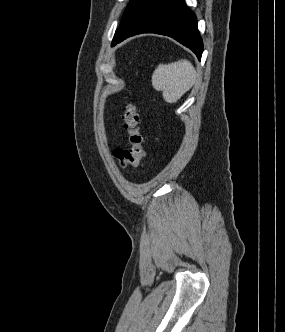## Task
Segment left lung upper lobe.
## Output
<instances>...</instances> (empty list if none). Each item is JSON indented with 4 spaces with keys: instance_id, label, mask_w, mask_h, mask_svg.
Here are the masks:
<instances>
[{
    "instance_id": "obj_1",
    "label": "left lung upper lobe",
    "mask_w": 285,
    "mask_h": 332,
    "mask_svg": "<svg viewBox=\"0 0 285 332\" xmlns=\"http://www.w3.org/2000/svg\"><path fill=\"white\" fill-rule=\"evenodd\" d=\"M152 0H132L125 11L113 40L119 36Z\"/></svg>"
}]
</instances>
